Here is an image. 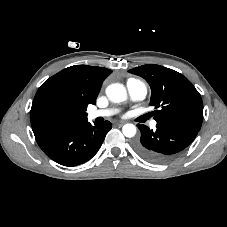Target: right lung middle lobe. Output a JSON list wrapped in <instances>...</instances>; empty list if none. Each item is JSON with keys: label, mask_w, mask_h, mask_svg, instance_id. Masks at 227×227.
Wrapping results in <instances>:
<instances>
[{"label": "right lung middle lobe", "mask_w": 227, "mask_h": 227, "mask_svg": "<svg viewBox=\"0 0 227 227\" xmlns=\"http://www.w3.org/2000/svg\"><path fill=\"white\" fill-rule=\"evenodd\" d=\"M79 119L73 105L54 92H44L34 99L31 124L37 129H49Z\"/></svg>", "instance_id": "obj_1"}]
</instances>
